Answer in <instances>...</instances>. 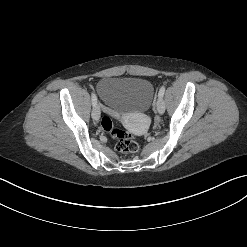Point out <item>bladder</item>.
I'll return each mask as SVG.
<instances>
[{"mask_svg": "<svg viewBox=\"0 0 247 247\" xmlns=\"http://www.w3.org/2000/svg\"><path fill=\"white\" fill-rule=\"evenodd\" d=\"M97 94L113 112H145L153 98V86L140 78H102L96 87Z\"/></svg>", "mask_w": 247, "mask_h": 247, "instance_id": "31cf9c89", "label": "bladder"}]
</instances>
